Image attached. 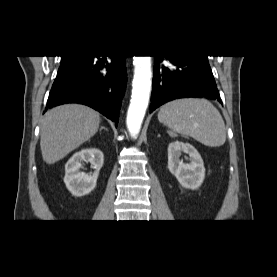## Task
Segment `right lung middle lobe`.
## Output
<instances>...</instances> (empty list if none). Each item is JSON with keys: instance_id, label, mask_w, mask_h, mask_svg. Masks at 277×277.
<instances>
[{"instance_id": "right-lung-middle-lobe-1", "label": "right lung middle lobe", "mask_w": 277, "mask_h": 277, "mask_svg": "<svg viewBox=\"0 0 277 277\" xmlns=\"http://www.w3.org/2000/svg\"><path fill=\"white\" fill-rule=\"evenodd\" d=\"M86 56L84 55H72V56H62L61 57V64L57 73V76L63 74L70 68L74 67L81 61L85 59Z\"/></svg>"}]
</instances>
